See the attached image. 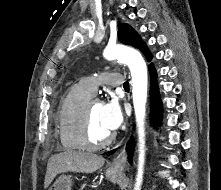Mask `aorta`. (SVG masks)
<instances>
[{"instance_id": "762f6f07", "label": "aorta", "mask_w": 221, "mask_h": 190, "mask_svg": "<svg viewBox=\"0 0 221 190\" xmlns=\"http://www.w3.org/2000/svg\"><path fill=\"white\" fill-rule=\"evenodd\" d=\"M108 60H118L128 65L132 76V97L135 111L138 142L139 164L134 190H140L143 180L145 159V112L147 101V66L141 54L124 45L108 46L103 52Z\"/></svg>"}]
</instances>
